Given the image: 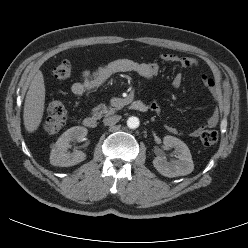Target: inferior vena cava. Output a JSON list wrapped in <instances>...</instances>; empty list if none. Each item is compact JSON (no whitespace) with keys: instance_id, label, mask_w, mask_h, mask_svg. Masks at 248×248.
Wrapping results in <instances>:
<instances>
[{"instance_id":"obj_1","label":"inferior vena cava","mask_w":248,"mask_h":248,"mask_svg":"<svg viewBox=\"0 0 248 248\" xmlns=\"http://www.w3.org/2000/svg\"><path fill=\"white\" fill-rule=\"evenodd\" d=\"M120 119H121V116L119 115L109 116L103 120V123L106 126H112V125H115Z\"/></svg>"}]
</instances>
